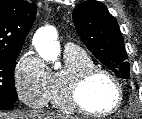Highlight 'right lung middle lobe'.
I'll use <instances>...</instances> for the list:
<instances>
[{
	"label": "right lung middle lobe",
	"instance_id": "dd1d6c3e",
	"mask_svg": "<svg viewBox=\"0 0 142 119\" xmlns=\"http://www.w3.org/2000/svg\"><path fill=\"white\" fill-rule=\"evenodd\" d=\"M19 53L0 55V102L15 103L18 98L14 83V69Z\"/></svg>",
	"mask_w": 142,
	"mask_h": 119
}]
</instances>
